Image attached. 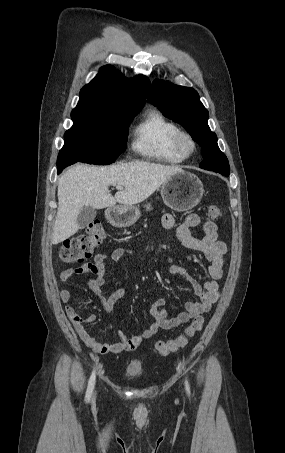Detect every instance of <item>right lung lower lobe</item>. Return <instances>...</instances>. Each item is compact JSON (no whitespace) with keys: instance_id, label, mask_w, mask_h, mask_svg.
<instances>
[{"instance_id":"right-lung-lower-lobe-1","label":"right lung lower lobe","mask_w":285,"mask_h":453,"mask_svg":"<svg viewBox=\"0 0 285 453\" xmlns=\"http://www.w3.org/2000/svg\"><path fill=\"white\" fill-rule=\"evenodd\" d=\"M73 164L72 161L67 160V159H61L58 157L57 160V173L59 174L65 167Z\"/></svg>"}]
</instances>
